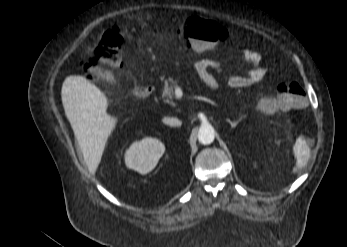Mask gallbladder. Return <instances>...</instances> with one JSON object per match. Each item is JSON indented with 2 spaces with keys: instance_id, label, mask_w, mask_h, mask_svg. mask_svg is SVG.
<instances>
[{
  "instance_id": "1",
  "label": "gallbladder",
  "mask_w": 347,
  "mask_h": 247,
  "mask_svg": "<svg viewBox=\"0 0 347 247\" xmlns=\"http://www.w3.org/2000/svg\"><path fill=\"white\" fill-rule=\"evenodd\" d=\"M91 72L96 75L99 79L109 82L110 84L116 83V80L111 71H101L98 68H91Z\"/></svg>"
}]
</instances>
